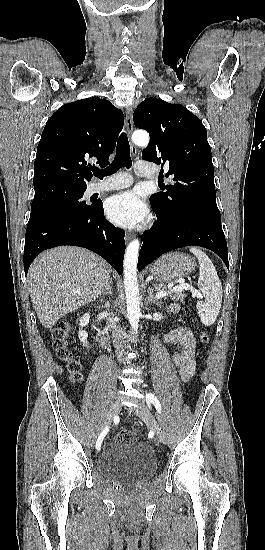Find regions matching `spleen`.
Listing matches in <instances>:
<instances>
[{
  "instance_id": "1",
  "label": "spleen",
  "mask_w": 265,
  "mask_h": 550,
  "mask_svg": "<svg viewBox=\"0 0 265 550\" xmlns=\"http://www.w3.org/2000/svg\"><path fill=\"white\" fill-rule=\"evenodd\" d=\"M190 251L199 261L198 287L205 297L204 301H199L196 305L198 314L202 323L210 326L215 322L221 308L222 285L210 258L197 247H191Z\"/></svg>"
}]
</instances>
